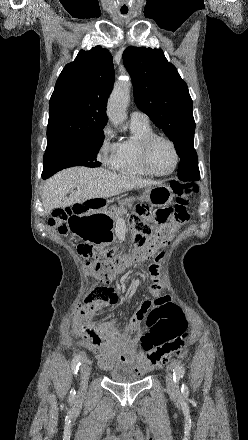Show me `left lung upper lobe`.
<instances>
[{
    "instance_id": "5c2ea615",
    "label": "left lung upper lobe",
    "mask_w": 248,
    "mask_h": 440,
    "mask_svg": "<svg viewBox=\"0 0 248 440\" xmlns=\"http://www.w3.org/2000/svg\"><path fill=\"white\" fill-rule=\"evenodd\" d=\"M122 58L132 78L137 107L175 145L181 158L178 177L185 181L199 180L193 106L186 83L161 49L130 46Z\"/></svg>"
}]
</instances>
